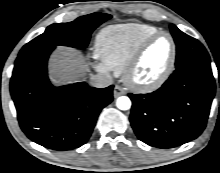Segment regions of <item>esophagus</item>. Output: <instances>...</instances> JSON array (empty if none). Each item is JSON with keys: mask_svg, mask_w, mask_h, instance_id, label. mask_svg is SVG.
Instances as JSON below:
<instances>
[{"mask_svg": "<svg viewBox=\"0 0 220 173\" xmlns=\"http://www.w3.org/2000/svg\"><path fill=\"white\" fill-rule=\"evenodd\" d=\"M125 93H126V91L121 86L116 85L114 87L113 95H114L115 98H117V97H119L121 95H124Z\"/></svg>", "mask_w": 220, "mask_h": 173, "instance_id": "1", "label": "esophagus"}]
</instances>
